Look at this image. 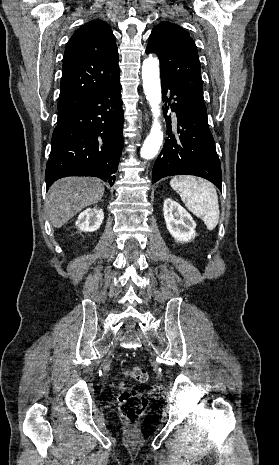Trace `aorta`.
Returning a JSON list of instances; mask_svg holds the SVG:
<instances>
[{"label": "aorta", "mask_w": 279, "mask_h": 465, "mask_svg": "<svg viewBox=\"0 0 279 465\" xmlns=\"http://www.w3.org/2000/svg\"><path fill=\"white\" fill-rule=\"evenodd\" d=\"M143 89L153 114V124L145 139L140 155L143 159L154 158L163 142V131L159 117L161 114V86L159 78V60L149 56L142 65Z\"/></svg>", "instance_id": "762f6f07"}]
</instances>
